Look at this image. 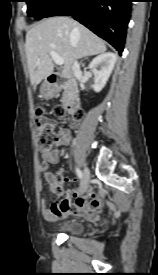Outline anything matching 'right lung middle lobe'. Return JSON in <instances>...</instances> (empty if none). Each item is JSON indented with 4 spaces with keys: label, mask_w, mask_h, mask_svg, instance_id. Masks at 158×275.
<instances>
[{
    "label": "right lung middle lobe",
    "mask_w": 158,
    "mask_h": 275,
    "mask_svg": "<svg viewBox=\"0 0 158 275\" xmlns=\"http://www.w3.org/2000/svg\"><path fill=\"white\" fill-rule=\"evenodd\" d=\"M28 8V16H33L39 20L45 17V15L62 0H25Z\"/></svg>",
    "instance_id": "dd1d6c3e"
}]
</instances>
